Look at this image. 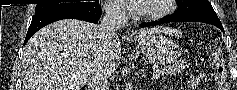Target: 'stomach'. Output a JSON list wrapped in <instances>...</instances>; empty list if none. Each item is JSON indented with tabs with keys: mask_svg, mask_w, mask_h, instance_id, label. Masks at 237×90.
<instances>
[{
	"mask_svg": "<svg viewBox=\"0 0 237 90\" xmlns=\"http://www.w3.org/2000/svg\"><path fill=\"white\" fill-rule=\"evenodd\" d=\"M142 53L153 63L165 65L176 61L182 53L181 47L163 35L152 34L139 43Z\"/></svg>",
	"mask_w": 237,
	"mask_h": 90,
	"instance_id": "0dacf381",
	"label": "stomach"
}]
</instances>
